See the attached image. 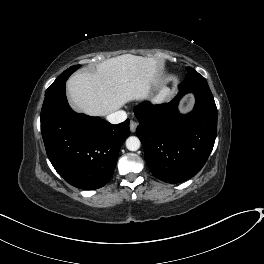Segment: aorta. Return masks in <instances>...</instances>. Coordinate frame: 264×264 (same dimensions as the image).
<instances>
[{
  "mask_svg": "<svg viewBox=\"0 0 264 264\" xmlns=\"http://www.w3.org/2000/svg\"><path fill=\"white\" fill-rule=\"evenodd\" d=\"M140 140L135 136H130L126 140V148L130 151H136L140 148Z\"/></svg>",
  "mask_w": 264,
  "mask_h": 264,
  "instance_id": "762f6f07",
  "label": "aorta"
}]
</instances>
